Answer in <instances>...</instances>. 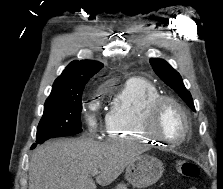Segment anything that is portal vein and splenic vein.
Returning <instances> with one entry per match:
<instances>
[{"label":"portal vein and splenic vein","mask_w":223,"mask_h":189,"mask_svg":"<svg viewBox=\"0 0 223 189\" xmlns=\"http://www.w3.org/2000/svg\"><path fill=\"white\" fill-rule=\"evenodd\" d=\"M98 174H99V171L98 170H93L92 173H91L92 176H96Z\"/></svg>","instance_id":"obj_1"}]
</instances>
